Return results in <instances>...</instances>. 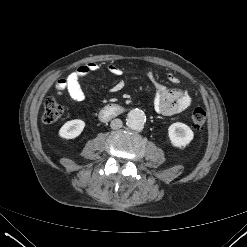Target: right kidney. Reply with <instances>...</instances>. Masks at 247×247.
<instances>
[{"label": "right kidney", "instance_id": "obj_1", "mask_svg": "<svg viewBox=\"0 0 247 247\" xmlns=\"http://www.w3.org/2000/svg\"><path fill=\"white\" fill-rule=\"evenodd\" d=\"M85 127V122L75 119L66 122L59 130V136L63 139H74L78 137Z\"/></svg>", "mask_w": 247, "mask_h": 247}]
</instances>
